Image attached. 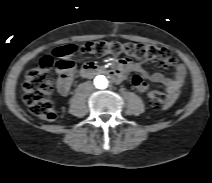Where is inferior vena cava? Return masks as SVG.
Returning a JSON list of instances; mask_svg holds the SVG:
<instances>
[{
  "label": "inferior vena cava",
  "mask_w": 212,
  "mask_h": 183,
  "mask_svg": "<svg viewBox=\"0 0 212 183\" xmlns=\"http://www.w3.org/2000/svg\"><path fill=\"white\" fill-rule=\"evenodd\" d=\"M84 88L87 92L92 93L95 91V87L91 82H85L84 83Z\"/></svg>",
  "instance_id": "inferior-vena-cava-1"
}]
</instances>
